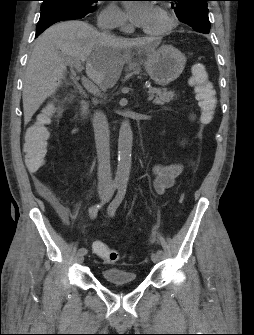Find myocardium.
Wrapping results in <instances>:
<instances>
[{"label": "myocardium", "mask_w": 254, "mask_h": 335, "mask_svg": "<svg viewBox=\"0 0 254 335\" xmlns=\"http://www.w3.org/2000/svg\"><path fill=\"white\" fill-rule=\"evenodd\" d=\"M156 11L163 17V19L165 20V25L163 28H161L160 30L157 31H148V34L151 35H156V36H162V35H166L168 34L175 26V20L173 18V16L169 13L168 10H166L165 8L162 7H158L156 9Z\"/></svg>", "instance_id": "myocardium-1"}]
</instances>
